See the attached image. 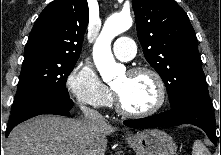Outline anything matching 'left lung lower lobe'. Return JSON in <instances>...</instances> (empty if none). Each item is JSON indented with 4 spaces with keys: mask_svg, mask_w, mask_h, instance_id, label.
<instances>
[{
    "mask_svg": "<svg viewBox=\"0 0 221 155\" xmlns=\"http://www.w3.org/2000/svg\"><path fill=\"white\" fill-rule=\"evenodd\" d=\"M172 109L162 114L142 119L124 121L133 128H152L159 126H178L192 124L203 129L210 140L217 145L215 133V114L211 109L208 89H198L186 94ZM221 145V135H220Z\"/></svg>",
    "mask_w": 221,
    "mask_h": 155,
    "instance_id": "left-lung-lower-lobe-1",
    "label": "left lung lower lobe"
}]
</instances>
